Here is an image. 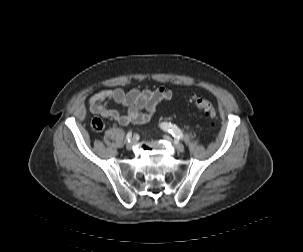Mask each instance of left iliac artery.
Returning <instances> with one entry per match:
<instances>
[{
    "instance_id": "1",
    "label": "left iliac artery",
    "mask_w": 303,
    "mask_h": 252,
    "mask_svg": "<svg viewBox=\"0 0 303 252\" xmlns=\"http://www.w3.org/2000/svg\"><path fill=\"white\" fill-rule=\"evenodd\" d=\"M161 127L164 130H167L168 132H170L172 134V136H174V138H176L177 140H179V139L182 140L183 139V133L176 125L164 122V123L161 124Z\"/></svg>"
}]
</instances>
